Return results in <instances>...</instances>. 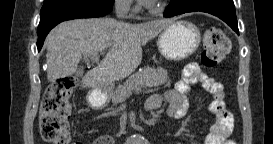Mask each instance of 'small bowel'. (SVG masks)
<instances>
[{"mask_svg": "<svg viewBox=\"0 0 273 144\" xmlns=\"http://www.w3.org/2000/svg\"><path fill=\"white\" fill-rule=\"evenodd\" d=\"M194 84L201 85L212 96L209 110L215 115V122L210 126L204 143L228 144V136L233 128V117L226 110L223 85L203 72L197 64L186 66L180 73V79L176 83L175 89L165 94L167 115L173 119L185 117L188 110L190 87ZM161 100L159 95L149 97L145 103V110L147 112L157 111L161 106ZM113 143V138L108 135L100 136L94 141V144Z\"/></svg>", "mask_w": 273, "mask_h": 144, "instance_id": "c3829d8e", "label": "small bowel"}]
</instances>
